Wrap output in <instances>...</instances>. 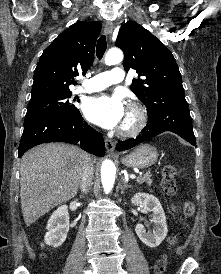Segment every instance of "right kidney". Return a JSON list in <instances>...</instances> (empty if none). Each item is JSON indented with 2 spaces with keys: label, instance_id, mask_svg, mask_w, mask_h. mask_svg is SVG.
<instances>
[{
  "label": "right kidney",
  "instance_id": "obj_1",
  "mask_svg": "<svg viewBox=\"0 0 221 274\" xmlns=\"http://www.w3.org/2000/svg\"><path fill=\"white\" fill-rule=\"evenodd\" d=\"M45 235V243L53 248H58L66 240L69 232L68 206L61 205L54 211L48 220Z\"/></svg>",
  "mask_w": 221,
  "mask_h": 274
}]
</instances>
